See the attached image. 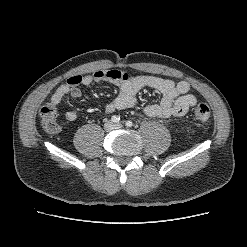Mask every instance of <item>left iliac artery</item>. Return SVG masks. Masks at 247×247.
<instances>
[{"label":"left iliac artery","mask_w":247,"mask_h":247,"mask_svg":"<svg viewBox=\"0 0 247 247\" xmlns=\"http://www.w3.org/2000/svg\"><path fill=\"white\" fill-rule=\"evenodd\" d=\"M125 124L127 127H132V125H133L132 121H130V120L126 121Z\"/></svg>","instance_id":"left-iliac-artery-1"}]
</instances>
